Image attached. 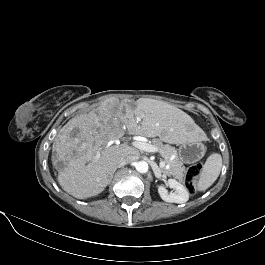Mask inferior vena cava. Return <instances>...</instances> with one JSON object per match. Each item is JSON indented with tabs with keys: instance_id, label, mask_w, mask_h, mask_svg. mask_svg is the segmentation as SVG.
Here are the masks:
<instances>
[{
	"instance_id": "obj_1",
	"label": "inferior vena cava",
	"mask_w": 265,
	"mask_h": 265,
	"mask_svg": "<svg viewBox=\"0 0 265 265\" xmlns=\"http://www.w3.org/2000/svg\"><path fill=\"white\" fill-rule=\"evenodd\" d=\"M136 157L133 156V155H127L125 157H123L119 162H118V165L117 167H121V166H124L126 164H129L133 161H135Z\"/></svg>"
}]
</instances>
